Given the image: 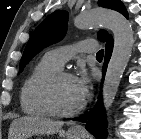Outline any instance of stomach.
<instances>
[{"mask_svg": "<svg viewBox=\"0 0 141 139\" xmlns=\"http://www.w3.org/2000/svg\"><path fill=\"white\" fill-rule=\"evenodd\" d=\"M65 139H81V134L80 133H75L72 131H68L65 134Z\"/></svg>", "mask_w": 141, "mask_h": 139, "instance_id": "obj_1", "label": "stomach"}]
</instances>
